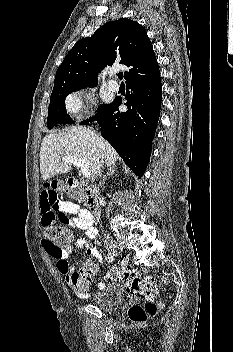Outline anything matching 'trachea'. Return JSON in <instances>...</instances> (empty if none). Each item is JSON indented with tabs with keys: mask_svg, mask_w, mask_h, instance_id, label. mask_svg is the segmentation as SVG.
<instances>
[{
	"mask_svg": "<svg viewBox=\"0 0 233 352\" xmlns=\"http://www.w3.org/2000/svg\"><path fill=\"white\" fill-rule=\"evenodd\" d=\"M118 78H119L120 80H122V79H123V73H118Z\"/></svg>",
	"mask_w": 233,
	"mask_h": 352,
	"instance_id": "3493384b",
	"label": "trachea"
}]
</instances>
